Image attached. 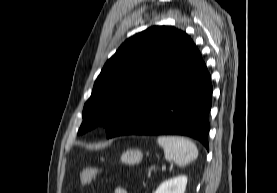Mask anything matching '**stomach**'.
<instances>
[{"label": "stomach", "instance_id": "0dacf381", "mask_svg": "<svg viewBox=\"0 0 277 193\" xmlns=\"http://www.w3.org/2000/svg\"><path fill=\"white\" fill-rule=\"evenodd\" d=\"M143 154L138 149H129L121 156V161L127 165H135L141 162Z\"/></svg>", "mask_w": 277, "mask_h": 193}]
</instances>
